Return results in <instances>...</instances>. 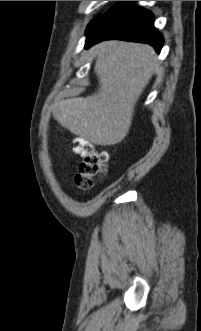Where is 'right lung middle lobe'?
Wrapping results in <instances>:
<instances>
[{
  "instance_id": "right-lung-middle-lobe-1",
  "label": "right lung middle lobe",
  "mask_w": 201,
  "mask_h": 331,
  "mask_svg": "<svg viewBox=\"0 0 201 331\" xmlns=\"http://www.w3.org/2000/svg\"><path fill=\"white\" fill-rule=\"evenodd\" d=\"M101 17H98L97 19H95L94 21H92L89 25L87 30H89Z\"/></svg>"
}]
</instances>
